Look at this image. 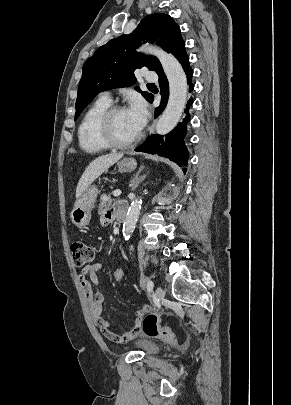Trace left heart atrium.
Returning a JSON list of instances; mask_svg holds the SVG:
<instances>
[{
    "instance_id": "1",
    "label": "left heart atrium",
    "mask_w": 291,
    "mask_h": 405,
    "mask_svg": "<svg viewBox=\"0 0 291 405\" xmlns=\"http://www.w3.org/2000/svg\"><path fill=\"white\" fill-rule=\"evenodd\" d=\"M127 111L135 128L140 131L144 127L147 120V105L143 100L135 99Z\"/></svg>"
}]
</instances>
